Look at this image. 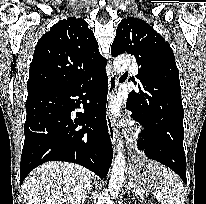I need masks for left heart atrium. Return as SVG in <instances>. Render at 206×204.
<instances>
[{"mask_svg":"<svg viewBox=\"0 0 206 204\" xmlns=\"http://www.w3.org/2000/svg\"><path fill=\"white\" fill-rule=\"evenodd\" d=\"M112 110L113 112H117V106H114Z\"/></svg>","mask_w":206,"mask_h":204,"instance_id":"1","label":"left heart atrium"}]
</instances>
